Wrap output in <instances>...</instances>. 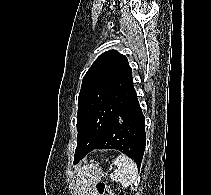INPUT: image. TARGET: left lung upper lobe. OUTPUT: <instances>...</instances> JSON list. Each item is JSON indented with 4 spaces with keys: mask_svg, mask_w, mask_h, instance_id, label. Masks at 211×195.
Masks as SVG:
<instances>
[{
    "mask_svg": "<svg viewBox=\"0 0 211 195\" xmlns=\"http://www.w3.org/2000/svg\"><path fill=\"white\" fill-rule=\"evenodd\" d=\"M132 70L115 50L101 54L85 74L78 97L74 162L94 149L108 123L134 98Z\"/></svg>",
    "mask_w": 211,
    "mask_h": 195,
    "instance_id": "5c2ea615",
    "label": "left lung upper lobe"
}]
</instances>
